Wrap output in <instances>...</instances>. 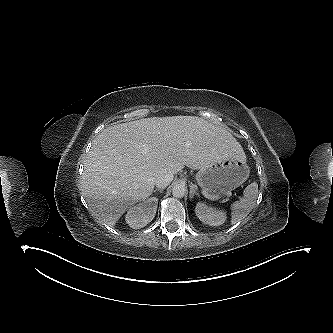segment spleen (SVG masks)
<instances>
[{
  "label": "spleen",
  "instance_id": "obj_1",
  "mask_svg": "<svg viewBox=\"0 0 333 333\" xmlns=\"http://www.w3.org/2000/svg\"><path fill=\"white\" fill-rule=\"evenodd\" d=\"M257 196L258 184L253 182L245 188L243 197L231 205V224L239 223L247 217L256 204Z\"/></svg>",
  "mask_w": 333,
  "mask_h": 333
}]
</instances>
